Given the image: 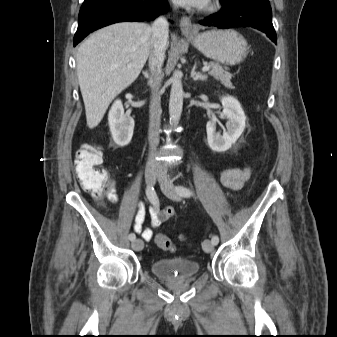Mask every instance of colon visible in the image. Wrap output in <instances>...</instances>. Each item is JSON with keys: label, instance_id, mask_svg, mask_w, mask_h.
<instances>
[{"label": "colon", "instance_id": "5ec220e1", "mask_svg": "<svg viewBox=\"0 0 337 337\" xmlns=\"http://www.w3.org/2000/svg\"><path fill=\"white\" fill-rule=\"evenodd\" d=\"M103 163V150L98 145L84 144L76 153L75 171L81 186L96 198L107 193L111 179L106 170L100 168ZM155 242L165 251H174L173 242L162 233L155 234Z\"/></svg>", "mask_w": 337, "mask_h": 337}]
</instances>
